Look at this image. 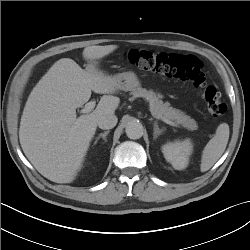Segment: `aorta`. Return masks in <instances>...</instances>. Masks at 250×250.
<instances>
[{
    "label": "aorta",
    "mask_w": 250,
    "mask_h": 250,
    "mask_svg": "<svg viewBox=\"0 0 250 250\" xmlns=\"http://www.w3.org/2000/svg\"><path fill=\"white\" fill-rule=\"evenodd\" d=\"M125 132L130 139H139L143 136V126L139 121L132 120L127 123Z\"/></svg>",
    "instance_id": "1"
}]
</instances>
